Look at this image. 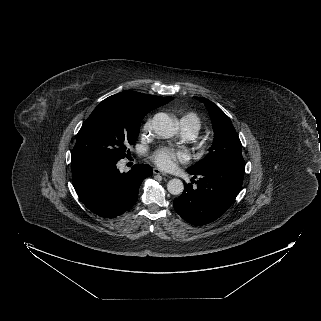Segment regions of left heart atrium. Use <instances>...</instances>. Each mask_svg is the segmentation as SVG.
<instances>
[{
	"label": "left heart atrium",
	"mask_w": 321,
	"mask_h": 321,
	"mask_svg": "<svg viewBox=\"0 0 321 321\" xmlns=\"http://www.w3.org/2000/svg\"><path fill=\"white\" fill-rule=\"evenodd\" d=\"M154 162L163 169H171L177 162L188 160V154L183 150H175L168 147L160 148L153 156Z\"/></svg>",
	"instance_id": "left-heart-atrium-1"
}]
</instances>
